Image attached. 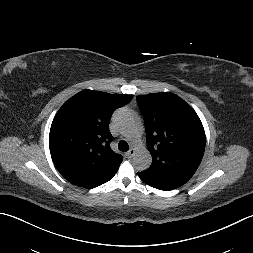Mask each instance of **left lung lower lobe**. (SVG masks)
I'll list each match as a JSON object with an SVG mask.
<instances>
[{"instance_id":"obj_1","label":"left lung lower lobe","mask_w":253,"mask_h":253,"mask_svg":"<svg viewBox=\"0 0 253 253\" xmlns=\"http://www.w3.org/2000/svg\"><path fill=\"white\" fill-rule=\"evenodd\" d=\"M138 175L143 182L159 190L168 191V190L176 189L183 185L175 181L152 178V177L143 175L141 172H138Z\"/></svg>"}]
</instances>
